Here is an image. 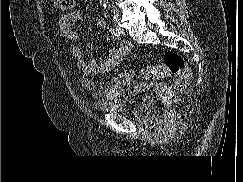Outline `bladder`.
Instances as JSON below:
<instances>
[{"mask_svg": "<svg viewBox=\"0 0 243 182\" xmlns=\"http://www.w3.org/2000/svg\"><path fill=\"white\" fill-rule=\"evenodd\" d=\"M146 104V97L132 93L125 98L103 100L93 103L96 111L104 114L135 115L140 113Z\"/></svg>", "mask_w": 243, "mask_h": 182, "instance_id": "1", "label": "bladder"}]
</instances>
